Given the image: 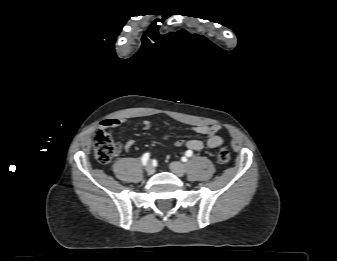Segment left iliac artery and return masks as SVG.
I'll list each match as a JSON object with an SVG mask.
<instances>
[{"mask_svg": "<svg viewBox=\"0 0 337 261\" xmlns=\"http://www.w3.org/2000/svg\"><path fill=\"white\" fill-rule=\"evenodd\" d=\"M185 155L187 157H191L193 155V152L191 150L186 151Z\"/></svg>", "mask_w": 337, "mask_h": 261, "instance_id": "left-iliac-artery-1", "label": "left iliac artery"}]
</instances>
